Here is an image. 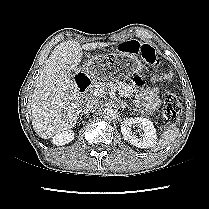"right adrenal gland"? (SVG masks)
<instances>
[{"mask_svg":"<svg viewBox=\"0 0 209 209\" xmlns=\"http://www.w3.org/2000/svg\"><path fill=\"white\" fill-rule=\"evenodd\" d=\"M84 114H86V113H84ZM83 116V113L81 114V116H80V118Z\"/></svg>","mask_w":209,"mask_h":209,"instance_id":"2a0ac1e0","label":"right adrenal gland"}]
</instances>
